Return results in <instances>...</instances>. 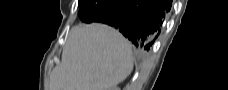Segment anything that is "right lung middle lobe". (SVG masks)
I'll return each instance as SVG.
<instances>
[{
    "instance_id": "dd1d6c3e",
    "label": "right lung middle lobe",
    "mask_w": 228,
    "mask_h": 90,
    "mask_svg": "<svg viewBox=\"0 0 228 90\" xmlns=\"http://www.w3.org/2000/svg\"><path fill=\"white\" fill-rule=\"evenodd\" d=\"M97 0H79L78 5H79V17H82L84 8L90 4H96Z\"/></svg>"
}]
</instances>
